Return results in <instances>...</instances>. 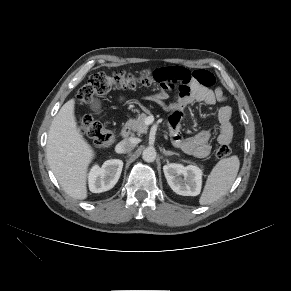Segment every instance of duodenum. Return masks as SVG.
Returning a JSON list of instances; mask_svg holds the SVG:
<instances>
[{"label":"duodenum","instance_id":"duodenum-1","mask_svg":"<svg viewBox=\"0 0 291 291\" xmlns=\"http://www.w3.org/2000/svg\"><path fill=\"white\" fill-rule=\"evenodd\" d=\"M131 133V127H130V124L129 123H126L123 127H122V130H121V136L123 138H127Z\"/></svg>","mask_w":291,"mask_h":291}]
</instances>
